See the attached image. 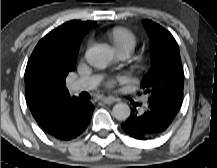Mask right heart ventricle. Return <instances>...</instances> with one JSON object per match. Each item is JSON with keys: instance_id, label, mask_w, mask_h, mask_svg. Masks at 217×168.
Returning <instances> with one entry per match:
<instances>
[{"instance_id": "e07e8e85", "label": "right heart ventricle", "mask_w": 217, "mask_h": 168, "mask_svg": "<svg viewBox=\"0 0 217 168\" xmlns=\"http://www.w3.org/2000/svg\"><path fill=\"white\" fill-rule=\"evenodd\" d=\"M109 39L117 48H121L127 54L134 45L133 36L121 28H115L108 33Z\"/></svg>"}]
</instances>
